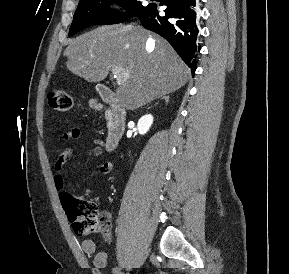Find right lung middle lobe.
Masks as SVG:
<instances>
[{
    "label": "right lung middle lobe",
    "mask_w": 289,
    "mask_h": 274,
    "mask_svg": "<svg viewBox=\"0 0 289 274\" xmlns=\"http://www.w3.org/2000/svg\"><path fill=\"white\" fill-rule=\"evenodd\" d=\"M114 1H118L117 3L126 8L129 15L133 16H139L147 7L136 0H80L70 27L69 36L92 25L120 23L125 16L108 10L109 5Z\"/></svg>",
    "instance_id": "right-lung-middle-lobe-1"
}]
</instances>
